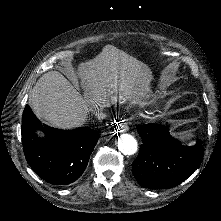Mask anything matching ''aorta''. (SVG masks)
I'll return each mask as SVG.
<instances>
[{"label":"aorta","mask_w":221,"mask_h":221,"mask_svg":"<svg viewBox=\"0 0 221 221\" xmlns=\"http://www.w3.org/2000/svg\"><path fill=\"white\" fill-rule=\"evenodd\" d=\"M118 150L124 155H133L136 153L138 143L130 134H121L117 140Z\"/></svg>","instance_id":"obj_1"}]
</instances>
